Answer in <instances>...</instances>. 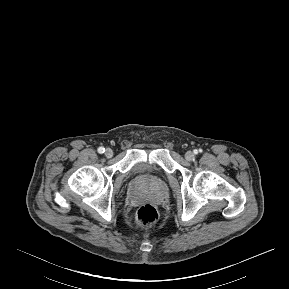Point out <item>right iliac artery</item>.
Wrapping results in <instances>:
<instances>
[{
    "instance_id": "right-iliac-artery-1",
    "label": "right iliac artery",
    "mask_w": 289,
    "mask_h": 289,
    "mask_svg": "<svg viewBox=\"0 0 289 289\" xmlns=\"http://www.w3.org/2000/svg\"><path fill=\"white\" fill-rule=\"evenodd\" d=\"M105 152V149L103 147L98 148V153L102 154Z\"/></svg>"
}]
</instances>
